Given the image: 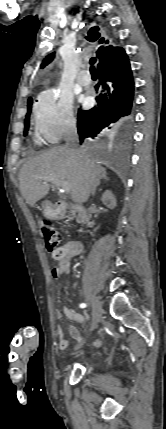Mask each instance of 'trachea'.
<instances>
[{
    "mask_svg": "<svg viewBox=\"0 0 166 429\" xmlns=\"http://www.w3.org/2000/svg\"><path fill=\"white\" fill-rule=\"evenodd\" d=\"M90 72L94 73L96 72V68L94 67V64L96 63V58H91L90 61Z\"/></svg>",
    "mask_w": 166,
    "mask_h": 429,
    "instance_id": "obj_1",
    "label": "trachea"
}]
</instances>
